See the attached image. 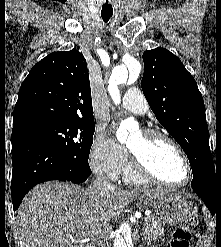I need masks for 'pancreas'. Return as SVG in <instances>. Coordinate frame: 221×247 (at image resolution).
Returning a JSON list of instances; mask_svg holds the SVG:
<instances>
[{
  "instance_id": "1",
  "label": "pancreas",
  "mask_w": 221,
  "mask_h": 247,
  "mask_svg": "<svg viewBox=\"0 0 221 247\" xmlns=\"http://www.w3.org/2000/svg\"><path fill=\"white\" fill-rule=\"evenodd\" d=\"M163 234L164 229L159 218L155 216L145 218V223L143 224V237L145 241L156 242Z\"/></svg>"
}]
</instances>
